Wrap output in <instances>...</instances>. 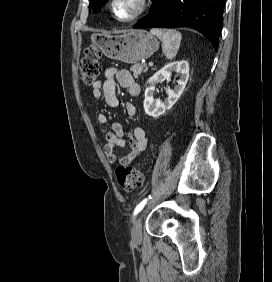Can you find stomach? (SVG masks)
Here are the masks:
<instances>
[{"instance_id": "obj_1", "label": "stomach", "mask_w": 272, "mask_h": 282, "mask_svg": "<svg viewBox=\"0 0 272 282\" xmlns=\"http://www.w3.org/2000/svg\"><path fill=\"white\" fill-rule=\"evenodd\" d=\"M91 40L107 57L125 63L147 59L159 48L158 40L146 30H131L115 36L93 34Z\"/></svg>"}]
</instances>
